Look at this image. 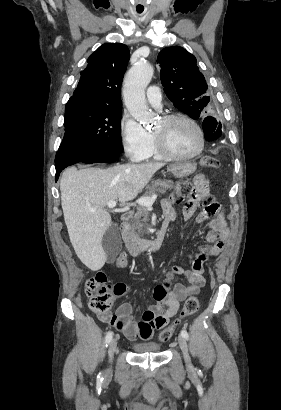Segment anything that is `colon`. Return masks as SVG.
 Returning <instances> with one entry per match:
<instances>
[{"mask_svg":"<svg viewBox=\"0 0 281 410\" xmlns=\"http://www.w3.org/2000/svg\"><path fill=\"white\" fill-rule=\"evenodd\" d=\"M201 165L207 170L214 171L218 168V161L213 157H204L201 160ZM192 192L193 188L189 184H183L179 189V194L181 196L189 195ZM199 204L203 207L204 212L208 216H222V208L212 195L205 194L201 196L199 198ZM126 264L127 257L124 253H121L116 260V265L118 267H125ZM115 292L116 285L110 284L107 276L102 272L90 277L85 284V294L89 300V307L93 312L98 314H105L109 311L113 303V295ZM198 308V298L195 296L189 297L186 300L179 317L160 333L159 339L163 342L168 341L180 327L182 321L196 313ZM116 324L121 325V322L117 321Z\"/></svg>","mask_w":281,"mask_h":410,"instance_id":"colon-1","label":"colon"}]
</instances>
